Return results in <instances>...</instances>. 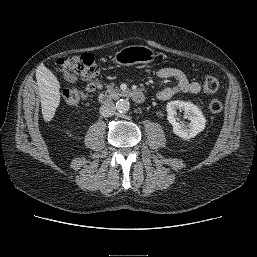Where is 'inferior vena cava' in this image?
Here are the masks:
<instances>
[{
    "instance_id": "1",
    "label": "inferior vena cava",
    "mask_w": 257,
    "mask_h": 257,
    "mask_svg": "<svg viewBox=\"0 0 257 257\" xmlns=\"http://www.w3.org/2000/svg\"><path fill=\"white\" fill-rule=\"evenodd\" d=\"M116 107L113 102H105L100 107V114L104 117H110L115 114Z\"/></svg>"
}]
</instances>
